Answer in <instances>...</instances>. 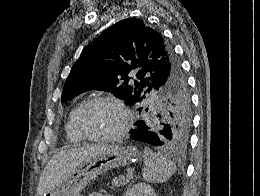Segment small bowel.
Instances as JSON below:
<instances>
[{"label": "small bowel", "instance_id": "1", "mask_svg": "<svg viewBox=\"0 0 260 196\" xmlns=\"http://www.w3.org/2000/svg\"><path fill=\"white\" fill-rule=\"evenodd\" d=\"M89 196H103V194L99 192H91Z\"/></svg>", "mask_w": 260, "mask_h": 196}]
</instances>
